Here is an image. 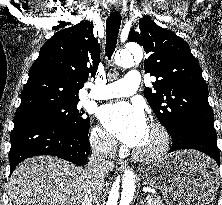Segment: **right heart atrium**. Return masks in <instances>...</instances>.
I'll return each instance as SVG.
<instances>
[{"label":"right heart atrium","instance_id":"d8ad5b80","mask_svg":"<svg viewBox=\"0 0 222 205\" xmlns=\"http://www.w3.org/2000/svg\"><path fill=\"white\" fill-rule=\"evenodd\" d=\"M92 148L99 154L109 157L114 153L115 142L101 127L95 126L90 134Z\"/></svg>","mask_w":222,"mask_h":205}]
</instances>
